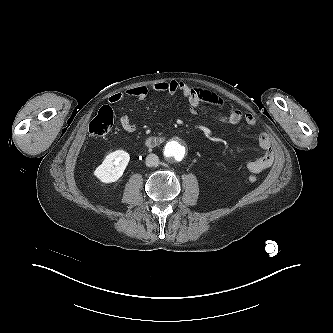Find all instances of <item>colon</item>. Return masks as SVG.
Instances as JSON below:
<instances>
[{
    "label": "colon",
    "mask_w": 333,
    "mask_h": 333,
    "mask_svg": "<svg viewBox=\"0 0 333 333\" xmlns=\"http://www.w3.org/2000/svg\"><path fill=\"white\" fill-rule=\"evenodd\" d=\"M113 125V111L109 106H103L99 109L97 115L89 124V131L94 136H104L108 134ZM248 180L251 183L257 181L254 174L249 175Z\"/></svg>",
    "instance_id": "5ec220e1"
}]
</instances>
